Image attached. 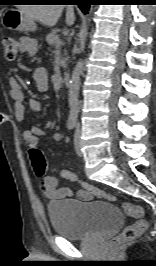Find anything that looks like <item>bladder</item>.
<instances>
[{"mask_svg": "<svg viewBox=\"0 0 156 266\" xmlns=\"http://www.w3.org/2000/svg\"><path fill=\"white\" fill-rule=\"evenodd\" d=\"M53 231L69 240L85 239L113 228L123 221L118 207L104 201L56 200L48 204Z\"/></svg>", "mask_w": 156, "mask_h": 266, "instance_id": "1", "label": "bladder"}]
</instances>
